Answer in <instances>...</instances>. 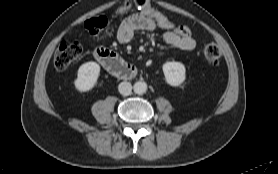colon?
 Here are the masks:
<instances>
[{
    "mask_svg": "<svg viewBox=\"0 0 278 174\" xmlns=\"http://www.w3.org/2000/svg\"><path fill=\"white\" fill-rule=\"evenodd\" d=\"M133 7L138 8L144 13L151 16L159 28L173 32L182 38L192 37V32L189 26L178 24L172 21L164 14L154 10L148 0H128L119 9L121 15L127 14ZM108 24V19L105 16H98L88 19L85 22V28L92 34L102 31ZM82 54V47L77 42L61 43L54 56V65L58 70H65L73 62L78 60ZM204 59L210 64H217L221 58V49L214 43H207L203 49Z\"/></svg>",
    "mask_w": 278,
    "mask_h": 174,
    "instance_id": "obj_1",
    "label": "colon"
}]
</instances>
